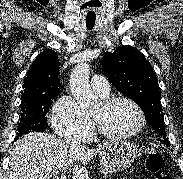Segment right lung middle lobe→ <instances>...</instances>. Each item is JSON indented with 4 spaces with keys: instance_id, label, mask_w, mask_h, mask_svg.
<instances>
[{
    "instance_id": "right-lung-middle-lobe-1",
    "label": "right lung middle lobe",
    "mask_w": 183,
    "mask_h": 179,
    "mask_svg": "<svg viewBox=\"0 0 183 179\" xmlns=\"http://www.w3.org/2000/svg\"><path fill=\"white\" fill-rule=\"evenodd\" d=\"M54 97L55 96H45L21 103L18 133L15 140L24 134L30 132H43L47 128L46 113L48 112Z\"/></svg>"
}]
</instances>
